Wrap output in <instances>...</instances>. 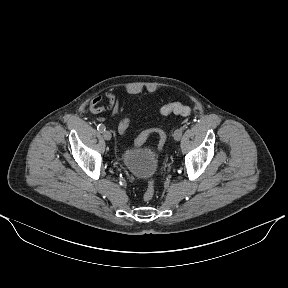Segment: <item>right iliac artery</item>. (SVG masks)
Returning <instances> with one entry per match:
<instances>
[{"label":"right iliac artery","mask_w":288,"mask_h":288,"mask_svg":"<svg viewBox=\"0 0 288 288\" xmlns=\"http://www.w3.org/2000/svg\"><path fill=\"white\" fill-rule=\"evenodd\" d=\"M97 130L102 133V132H104L106 130V128H105V126L103 124H99L97 126Z\"/></svg>","instance_id":"82829eb1"}]
</instances>
